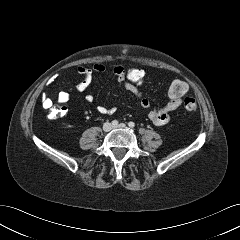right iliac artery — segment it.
<instances>
[{"mask_svg":"<svg viewBox=\"0 0 240 240\" xmlns=\"http://www.w3.org/2000/svg\"><path fill=\"white\" fill-rule=\"evenodd\" d=\"M112 125H114V126L118 125V121L117 120H113L112 121Z\"/></svg>","mask_w":240,"mask_h":240,"instance_id":"1","label":"right iliac artery"}]
</instances>
